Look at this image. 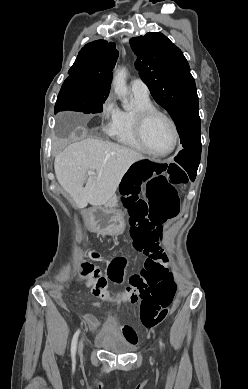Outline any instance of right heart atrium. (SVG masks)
<instances>
[{
	"label": "right heart atrium",
	"mask_w": 248,
	"mask_h": 389,
	"mask_svg": "<svg viewBox=\"0 0 248 389\" xmlns=\"http://www.w3.org/2000/svg\"><path fill=\"white\" fill-rule=\"evenodd\" d=\"M118 107L111 95L107 96L102 104L101 117L106 122L105 130L111 133L115 119L118 114Z\"/></svg>",
	"instance_id": "right-heart-atrium-1"
}]
</instances>
